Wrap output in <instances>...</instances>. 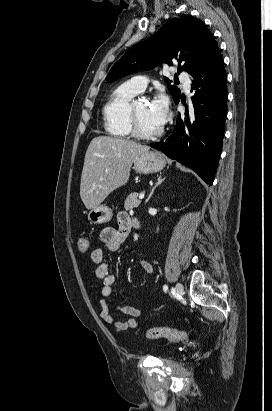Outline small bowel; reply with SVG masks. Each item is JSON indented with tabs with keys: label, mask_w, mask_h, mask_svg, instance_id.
<instances>
[{
	"label": "small bowel",
	"mask_w": 272,
	"mask_h": 411,
	"mask_svg": "<svg viewBox=\"0 0 272 411\" xmlns=\"http://www.w3.org/2000/svg\"><path fill=\"white\" fill-rule=\"evenodd\" d=\"M133 227H136L133 220L126 214H120L118 216V227L103 228L100 232V240L107 250L116 252L121 248ZM132 253L135 255V252ZM91 259L96 264V277L101 280L103 284L101 289L102 298L100 299V317L102 320L119 331L139 328L140 323L137 318L142 315L140 308L129 305H118L117 310L128 317L124 321H118L115 319L107 304L106 298L113 294L116 277L109 273L108 265L104 259L103 249H94L91 252ZM138 265L145 275H150L153 272V265L147 259H138Z\"/></svg>",
	"instance_id": "small-bowel-1"
}]
</instances>
